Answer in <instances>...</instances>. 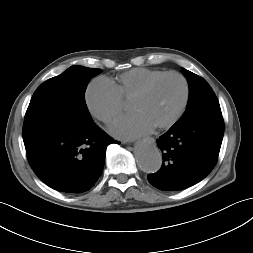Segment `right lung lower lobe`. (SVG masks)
I'll use <instances>...</instances> for the list:
<instances>
[{"instance_id":"right-lung-lower-lobe-1","label":"right lung lower lobe","mask_w":253,"mask_h":253,"mask_svg":"<svg viewBox=\"0 0 253 253\" xmlns=\"http://www.w3.org/2000/svg\"><path fill=\"white\" fill-rule=\"evenodd\" d=\"M116 143L94 122L50 129L25 144L29 164L49 187L88 191L101 176L106 148Z\"/></svg>"}]
</instances>
